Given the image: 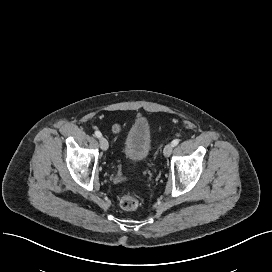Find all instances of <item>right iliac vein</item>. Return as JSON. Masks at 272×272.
<instances>
[{"mask_svg": "<svg viewBox=\"0 0 272 272\" xmlns=\"http://www.w3.org/2000/svg\"><path fill=\"white\" fill-rule=\"evenodd\" d=\"M99 143H100V147L102 150L105 151L108 149L109 144H108V141L106 140V138L100 137Z\"/></svg>", "mask_w": 272, "mask_h": 272, "instance_id": "obj_1", "label": "right iliac vein"}]
</instances>
